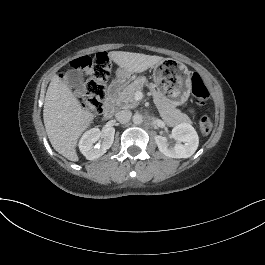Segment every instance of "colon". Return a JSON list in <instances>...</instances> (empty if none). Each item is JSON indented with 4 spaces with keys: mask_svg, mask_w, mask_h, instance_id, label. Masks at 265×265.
Returning a JSON list of instances; mask_svg holds the SVG:
<instances>
[{
    "mask_svg": "<svg viewBox=\"0 0 265 265\" xmlns=\"http://www.w3.org/2000/svg\"><path fill=\"white\" fill-rule=\"evenodd\" d=\"M73 69H85L90 78L87 82L82 106L92 114H98L103 109V101L106 94V81L110 75L111 60L107 53L99 52L93 56H81L71 62ZM192 93L196 102L205 104L209 98V90L198 74L191 78ZM213 127L209 117L203 116L199 121L201 134L207 135Z\"/></svg>",
    "mask_w": 265,
    "mask_h": 265,
    "instance_id": "colon-1",
    "label": "colon"
}]
</instances>
